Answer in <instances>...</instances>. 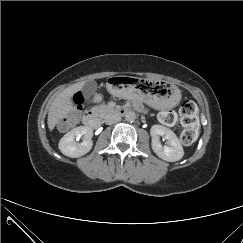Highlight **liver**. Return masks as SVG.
<instances>
[{"mask_svg":"<svg viewBox=\"0 0 243 243\" xmlns=\"http://www.w3.org/2000/svg\"><path fill=\"white\" fill-rule=\"evenodd\" d=\"M84 84L85 82H80L67 87L60 94H58V96L52 102L47 119V124L50 131H52L57 123L72 109V97L76 92L83 88Z\"/></svg>","mask_w":243,"mask_h":243,"instance_id":"liver-1","label":"liver"}]
</instances>
